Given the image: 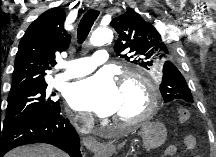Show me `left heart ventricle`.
Returning <instances> with one entry per match:
<instances>
[{
	"label": "left heart ventricle",
	"instance_id": "b2bd125f",
	"mask_svg": "<svg viewBox=\"0 0 216 157\" xmlns=\"http://www.w3.org/2000/svg\"><path fill=\"white\" fill-rule=\"evenodd\" d=\"M146 107V92L137 83H127L120 87L119 106L114 112V118L124 120L138 117Z\"/></svg>",
	"mask_w": 216,
	"mask_h": 157
}]
</instances>
